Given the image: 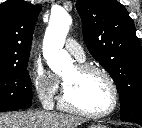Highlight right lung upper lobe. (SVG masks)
Here are the masks:
<instances>
[{
  "instance_id": "right-lung-upper-lobe-1",
  "label": "right lung upper lobe",
  "mask_w": 142,
  "mask_h": 128,
  "mask_svg": "<svg viewBox=\"0 0 142 128\" xmlns=\"http://www.w3.org/2000/svg\"><path fill=\"white\" fill-rule=\"evenodd\" d=\"M40 5L8 0L0 5V69L28 63Z\"/></svg>"
}]
</instances>
